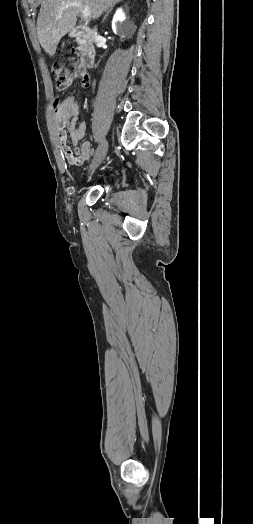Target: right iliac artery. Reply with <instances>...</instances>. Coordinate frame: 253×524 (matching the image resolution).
I'll return each mask as SVG.
<instances>
[{"instance_id":"right-iliac-artery-1","label":"right iliac artery","mask_w":253,"mask_h":524,"mask_svg":"<svg viewBox=\"0 0 253 524\" xmlns=\"http://www.w3.org/2000/svg\"><path fill=\"white\" fill-rule=\"evenodd\" d=\"M94 153H95V148H92L91 155H94Z\"/></svg>"}]
</instances>
